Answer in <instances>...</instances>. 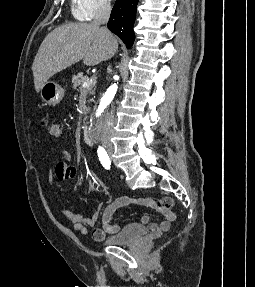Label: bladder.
Segmentation results:
<instances>
[{
	"mask_svg": "<svg viewBox=\"0 0 255 287\" xmlns=\"http://www.w3.org/2000/svg\"><path fill=\"white\" fill-rule=\"evenodd\" d=\"M148 228L136 223H129L119 228L115 233L104 238L107 245H127L136 242L144 237Z\"/></svg>",
	"mask_w": 255,
	"mask_h": 287,
	"instance_id": "obj_1",
	"label": "bladder"
}]
</instances>
